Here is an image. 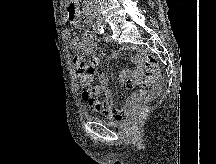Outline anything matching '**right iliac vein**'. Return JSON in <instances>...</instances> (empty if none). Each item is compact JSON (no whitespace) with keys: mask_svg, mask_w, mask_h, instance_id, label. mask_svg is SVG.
Instances as JSON below:
<instances>
[{"mask_svg":"<svg viewBox=\"0 0 216 164\" xmlns=\"http://www.w3.org/2000/svg\"><path fill=\"white\" fill-rule=\"evenodd\" d=\"M101 23H105L103 19L100 20Z\"/></svg>","mask_w":216,"mask_h":164,"instance_id":"right-iliac-vein-1","label":"right iliac vein"}]
</instances>
